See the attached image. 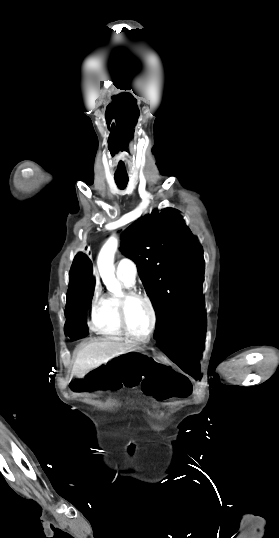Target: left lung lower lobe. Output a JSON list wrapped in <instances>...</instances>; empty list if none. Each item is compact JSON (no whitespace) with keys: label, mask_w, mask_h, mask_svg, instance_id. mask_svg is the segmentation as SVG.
Instances as JSON below:
<instances>
[{"label":"left lung lower lobe","mask_w":279,"mask_h":538,"mask_svg":"<svg viewBox=\"0 0 279 538\" xmlns=\"http://www.w3.org/2000/svg\"><path fill=\"white\" fill-rule=\"evenodd\" d=\"M206 332V314L173 334L154 335L157 346L180 368L188 374L199 378V359L203 349Z\"/></svg>","instance_id":"1"}]
</instances>
